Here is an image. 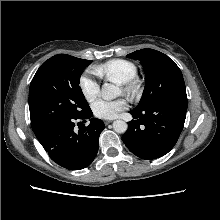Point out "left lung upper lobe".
Segmentation results:
<instances>
[{
  "mask_svg": "<svg viewBox=\"0 0 220 220\" xmlns=\"http://www.w3.org/2000/svg\"><path fill=\"white\" fill-rule=\"evenodd\" d=\"M127 57L140 60L147 77L143 96L134 111L142 112L162 100L186 96L181 70L167 55L153 49H141Z\"/></svg>",
  "mask_w": 220,
  "mask_h": 220,
  "instance_id": "1",
  "label": "left lung upper lobe"
}]
</instances>
